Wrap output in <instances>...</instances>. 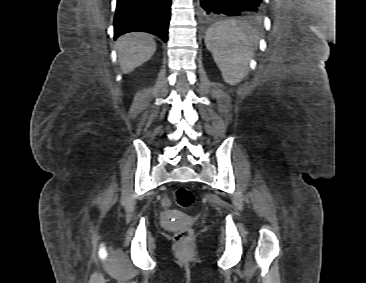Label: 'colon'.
Returning a JSON list of instances; mask_svg holds the SVG:
<instances>
[{
    "label": "colon",
    "instance_id": "5ec220e1",
    "mask_svg": "<svg viewBox=\"0 0 366 283\" xmlns=\"http://www.w3.org/2000/svg\"><path fill=\"white\" fill-rule=\"evenodd\" d=\"M195 197L193 193L186 187H179L175 191V201L180 207H189L194 203ZM175 241L183 246L186 244L191 236V230L189 227L176 228L173 231Z\"/></svg>",
    "mask_w": 366,
    "mask_h": 283
}]
</instances>
